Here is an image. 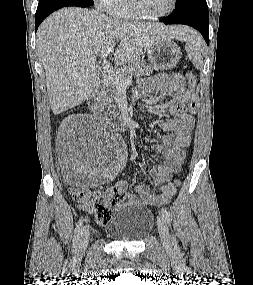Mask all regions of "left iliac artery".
Wrapping results in <instances>:
<instances>
[{
	"label": "left iliac artery",
	"mask_w": 253,
	"mask_h": 285,
	"mask_svg": "<svg viewBox=\"0 0 253 285\" xmlns=\"http://www.w3.org/2000/svg\"><path fill=\"white\" fill-rule=\"evenodd\" d=\"M161 213H162V216L165 218L166 222L168 223V225H171L172 219H171V213L169 212V210H167L166 208H162ZM172 241H173L172 243L175 246V248H177V241L174 235L172 236Z\"/></svg>",
	"instance_id": "1"
}]
</instances>
